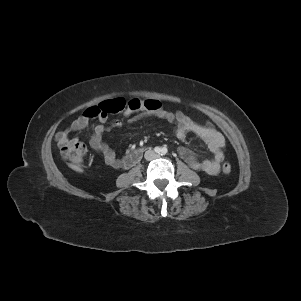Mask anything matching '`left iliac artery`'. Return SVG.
I'll return each mask as SVG.
<instances>
[{"label":"left iliac artery","instance_id":"left-iliac-artery-1","mask_svg":"<svg viewBox=\"0 0 301 301\" xmlns=\"http://www.w3.org/2000/svg\"><path fill=\"white\" fill-rule=\"evenodd\" d=\"M161 151H162L163 154H166L168 152L166 147H163Z\"/></svg>","mask_w":301,"mask_h":301}]
</instances>
